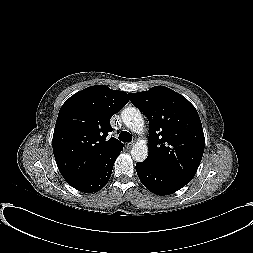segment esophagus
I'll return each mask as SVG.
<instances>
[{
  "mask_svg": "<svg viewBox=\"0 0 253 253\" xmlns=\"http://www.w3.org/2000/svg\"><path fill=\"white\" fill-rule=\"evenodd\" d=\"M135 143L132 141V142H129V143H127V147L128 148H131L133 145H134Z\"/></svg>",
  "mask_w": 253,
  "mask_h": 253,
  "instance_id": "esophagus-1",
  "label": "esophagus"
}]
</instances>
